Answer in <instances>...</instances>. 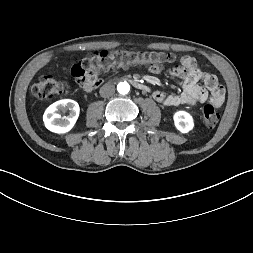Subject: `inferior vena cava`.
<instances>
[{
    "mask_svg": "<svg viewBox=\"0 0 253 253\" xmlns=\"http://www.w3.org/2000/svg\"><path fill=\"white\" fill-rule=\"evenodd\" d=\"M115 87L112 84H105L100 88V95L104 98L110 97L114 94Z\"/></svg>",
    "mask_w": 253,
    "mask_h": 253,
    "instance_id": "inferior-vena-cava-1",
    "label": "inferior vena cava"
}]
</instances>
